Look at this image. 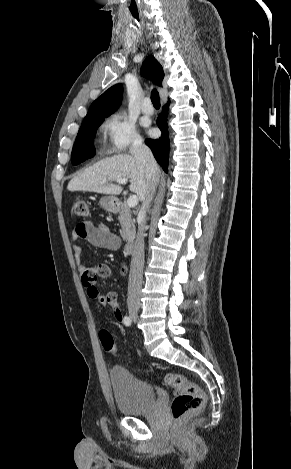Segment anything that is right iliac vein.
<instances>
[{"label":"right iliac vein","instance_id":"right-iliac-vein-1","mask_svg":"<svg viewBox=\"0 0 291 469\" xmlns=\"http://www.w3.org/2000/svg\"><path fill=\"white\" fill-rule=\"evenodd\" d=\"M128 311H129L130 317L134 321H137V319H138V307L134 306V305H131V306H129Z\"/></svg>","mask_w":291,"mask_h":469}]
</instances>
